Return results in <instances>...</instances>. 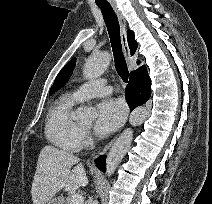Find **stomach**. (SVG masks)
Segmentation results:
<instances>
[{
    "instance_id": "0dacf381",
    "label": "stomach",
    "mask_w": 212,
    "mask_h": 204,
    "mask_svg": "<svg viewBox=\"0 0 212 204\" xmlns=\"http://www.w3.org/2000/svg\"><path fill=\"white\" fill-rule=\"evenodd\" d=\"M46 204H61L58 199H50Z\"/></svg>"
}]
</instances>
